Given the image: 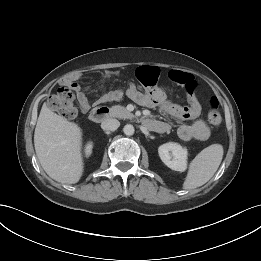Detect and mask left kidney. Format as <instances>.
Listing matches in <instances>:
<instances>
[{
    "mask_svg": "<svg viewBox=\"0 0 261 261\" xmlns=\"http://www.w3.org/2000/svg\"><path fill=\"white\" fill-rule=\"evenodd\" d=\"M161 160L170 169L184 172L187 168V149L178 143L169 142L158 148Z\"/></svg>",
    "mask_w": 261,
    "mask_h": 261,
    "instance_id": "obj_1",
    "label": "left kidney"
}]
</instances>
